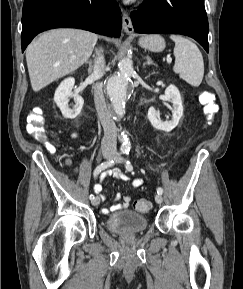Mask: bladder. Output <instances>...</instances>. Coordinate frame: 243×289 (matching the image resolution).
<instances>
[{
    "mask_svg": "<svg viewBox=\"0 0 243 289\" xmlns=\"http://www.w3.org/2000/svg\"><path fill=\"white\" fill-rule=\"evenodd\" d=\"M105 224L111 232L129 234L146 230L148 227V219L138 212L121 210L110 214Z\"/></svg>",
    "mask_w": 243,
    "mask_h": 289,
    "instance_id": "obj_1",
    "label": "bladder"
}]
</instances>
